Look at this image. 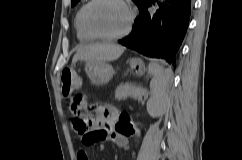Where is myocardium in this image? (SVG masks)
<instances>
[{
    "mask_svg": "<svg viewBox=\"0 0 242 160\" xmlns=\"http://www.w3.org/2000/svg\"><path fill=\"white\" fill-rule=\"evenodd\" d=\"M98 1L99 0H90L84 8L82 21H83V25H84L86 31L94 38L107 40V41H115V40H119V39H122L125 36H127L131 32V30L134 26L135 18H136V11H135L134 7L132 6V4L130 3V1L129 0H119V2H121L128 10L129 19H128V23H127L125 29L118 34H113V35H106V34L98 33L90 25L89 11H90L91 7Z\"/></svg>",
    "mask_w": 242,
    "mask_h": 160,
    "instance_id": "obj_1",
    "label": "myocardium"
}]
</instances>
